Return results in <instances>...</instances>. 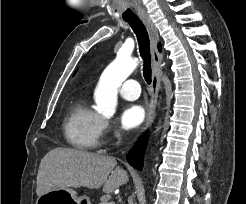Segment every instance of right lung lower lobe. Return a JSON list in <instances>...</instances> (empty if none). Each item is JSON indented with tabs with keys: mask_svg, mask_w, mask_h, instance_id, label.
<instances>
[{
	"mask_svg": "<svg viewBox=\"0 0 246 204\" xmlns=\"http://www.w3.org/2000/svg\"><path fill=\"white\" fill-rule=\"evenodd\" d=\"M147 136L144 135L138 144L130 151L127 160L128 162L136 169L142 170L143 160H144V151L146 149Z\"/></svg>",
	"mask_w": 246,
	"mask_h": 204,
	"instance_id": "98d812e1",
	"label": "right lung lower lobe"
}]
</instances>
